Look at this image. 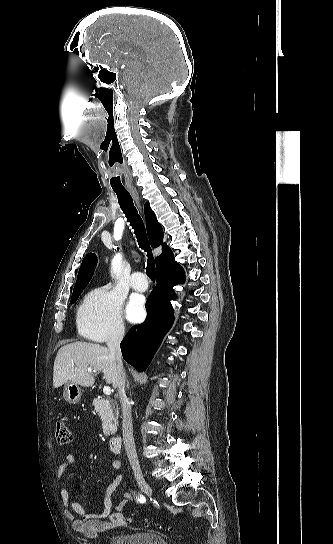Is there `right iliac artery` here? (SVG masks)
I'll list each match as a JSON object with an SVG mask.
<instances>
[{"label": "right iliac artery", "mask_w": 333, "mask_h": 544, "mask_svg": "<svg viewBox=\"0 0 333 544\" xmlns=\"http://www.w3.org/2000/svg\"><path fill=\"white\" fill-rule=\"evenodd\" d=\"M138 501H139V502H144V501H145V497H144V496H140V497L138 498Z\"/></svg>", "instance_id": "obj_1"}]
</instances>
